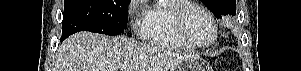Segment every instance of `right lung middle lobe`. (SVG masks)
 Here are the masks:
<instances>
[{
  "label": "right lung middle lobe",
  "mask_w": 301,
  "mask_h": 71,
  "mask_svg": "<svg viewBox=\"0 0 301 71\" xmlns=\"http://www.w3.org/2000/svg\"><path fill=\"white\" fill-rule=\"evenodd\" d=\"M131 0H64L62 38L79 31L117 35L127 26Z\"/></svg>",
  "instance_id": "dd1d6c3e"
}]
</instances>
